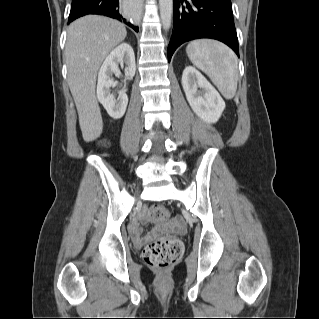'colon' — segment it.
<instances>
[{"instance_id":"colon-1","label":"colon","mask_w":319,"mask_h":319,"mask_svg":"<svg viewBox=\"0 0 319 319\" xmlns=\"http://www.w3.org/2000/svg\"><path fill=\"white\" fill-rule=\"evenodd\" d=\"M149 216L158 221H166L172 217V213L164 205H155L150 209ZM183 251V242L177 237L169 236L148 244L142 256L147 266L157 270H166L181 258Z\"/></svg>"}]
</instances>
